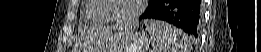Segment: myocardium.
<instances>
[{
	"instance_id": "f54148a6",
	"label": "myocardium",
	"mask_w": 261,
	"mask_h": 52,
	"mask_svg": "<svg viewBox=\"0 0 261 52\" xmlns=\"http://www.w3.org/2000/svg\"><path fill=\"white\" fill-rule=\"evenodd\" d=\"M103 2H104V7L102 10V13H103V15H105L107 17L109 22L113 23V24H121V25L122 24H131L140 17V15L143 13V11L145 9V0H139L137 9L130 16H128L126 18H112L109 15V12L112 8L111 0H103Z\"/></svg>"
}]
</instances>
